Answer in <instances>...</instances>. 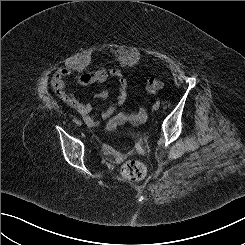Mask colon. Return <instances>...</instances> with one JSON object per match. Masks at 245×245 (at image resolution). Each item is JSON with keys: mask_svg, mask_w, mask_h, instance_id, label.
Returning <instances> with one entry per match:
<instances>
[{"mask_svg": "<svg viewBox=\"0 0 245 245\" xmlns=\"http://www.w3.org/2000/svg\"><path fill=\"white\" fill-rule=\"evenodd\" d=\"M164 87V83L157 78H150L146 83V91L149 93H155ZM148 118V112L145 107H141L139 111L135 114L126 116L124 114H119L109 121L107 125L108 130L114 129L117 125L124 123L126 121L132 124L144 123ZM122 178L131 181L138 182L144 179L146 176V167L139 160L127 161L121 168L120 172Z\"/></svg>", "mask_w": 245, "mask_h": 245, "instance_id": "colon-1", "label": "colon"}]
</instances>
